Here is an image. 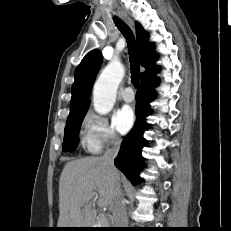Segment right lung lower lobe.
I'll return each mask as SVG.
<instances>
[{
    "instance_id": "98d812e1",
    "label": "right lung lower lobe",
    "mask_w": 231,
    "mask_h": 231,
    "mask_svg": "<svg viewBox=\"0 0 231 231\" xmlns=\"http://www.w3.org/2000/svg\"><path fill=\"white\" fill-rule=\"evenodd\" d=\"M159 79L156 76L142 80L136 94V122L131 132L123 139L121 149L115 159V166L124 173L133 185L139 182V170L142 167L141 151L146 140L143 137L147 130L146 116L151 109L149 103L154 99V87Z\"/></svg>"
}]
</instances>
